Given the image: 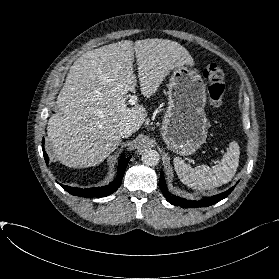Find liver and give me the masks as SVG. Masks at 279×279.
Instances as JSON below:
<instances>
[{"instance_id":"6515ba94","label":"liver","mask_w":279,"mask_h":279,"mask_svg":"<svg viewBox=\"0 0 279 279\" xmlns=\"http://www.w3.org/2000/svg\"><path fill=\"white\" fill-rule=\"evenodd\" d=\"M134 45V46H133ZM134 53L140 90L152 96L170 70L193 65L190 53L167 39L122 40L91 50L71 66L57 97L47 135L56 159L73 168L95 166L121 142V131L140 129L147 117L140 104L127 107L125 95L136 87Z\"/></svg>"}]
</instances>
